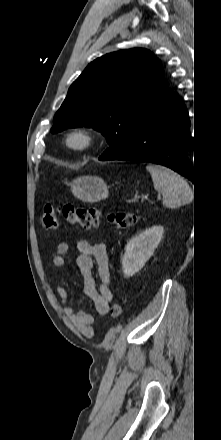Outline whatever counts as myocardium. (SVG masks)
I'll list each match as a JSON object with an SVG mask.
<instances>
[{
  "instance_id": "myocardium-1",
  "label": "myocardium",
  "mask_w": 221,
  "mask_h": 440,
  "mask_svg": "<svg viewBox=\"0 0 221 440\" xmlns=\"http://www.w3.org/2000/svg\"><path fill=\"white\" fill-rule=\"evenodd\" d=\"M95 131L84 125L72 126L62 137L63 147L73 153H84L91 150L97 143Z\"/></svg>"
}]
</instances>
